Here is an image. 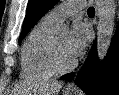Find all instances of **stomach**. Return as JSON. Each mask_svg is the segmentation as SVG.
<instances>
[{"mask_svg":"<svg viewBox=\"0 0 119 95\" xmlns=\"http://www.w3.org/2000/svg\"><path fill=\"white\" fill-rule=\"evenodd\" d=\"M62 95H74L73 92L65 90Z\"/></svg>","mask_w":119,"mask_h":95,"instance_id":"0dacf381","label":"stomach"}]
</instances>
